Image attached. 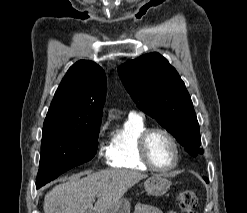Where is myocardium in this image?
<instances>
[{
  "label": "myocardium",
  "mask_w": 247,
  "mask_h": 213,
  "mask_svg": "<svg viewBox=\"0 0 247 213\" xmlns=\"http://www.w3.org/2000/svg\"><path fill=\"white\" fill-rule=\"evenodd\" d=\"M154 133H162L164 134L171 142L174 150V161L173 163L166 168H161L156 166L150 159L148 154V140L150 136ZM138 155L140 160L145 164L149 169L160 172V173H166L174 170L179 161H180V149L178 142L174 135L169 132L167 129L161 128V127H153V128H147L145 131H143L139 138H138Z\"/></svg>",
  "instance_id": "f54148a6"
}]
</instances>
